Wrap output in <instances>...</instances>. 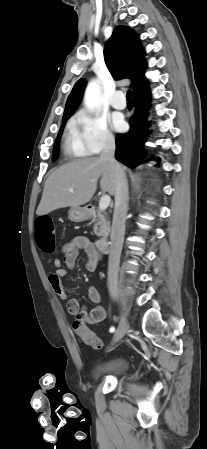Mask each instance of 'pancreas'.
Wrapping results in <instances>:
<instances>
[{
	"label": "pancreas",
	"instance_id": "1",
	"mask_svg": "<svg viewBox=\"0 0 207 449\" xmlns=\"http://www.w3.org/2000/svg\"><path fill=\"white\" fill-rule=\"evenodd\" d=\"M92 221L94 224V233L98 237H107L110 232V222L107 220L105 212H94L92 214Z\"/></svg>",
	"mask_w": 207,
	"mask_h": 449
}]
</instances>
